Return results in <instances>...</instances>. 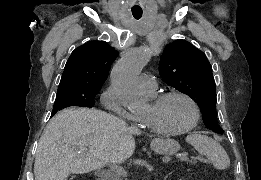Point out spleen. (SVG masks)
Wrapping results in <instances>:
<instances>
[{"mask_svg":"<svg viewBox=\"0 0 261 180\" xmlns=\"http://www.w3.org/2000/svg\"><path fill=\"white\" fill-rule=\"evenodd\" d=\"M186 142L191 144L201 156H206L217 170L229 168L230 160L227 152L216 140H212L208 136H201V134H190V136H187Z\"/></svg>","mask_w":261,"mask_h":180,"instance_id":"3e777b00","label":"spleen"}]
</instances>
